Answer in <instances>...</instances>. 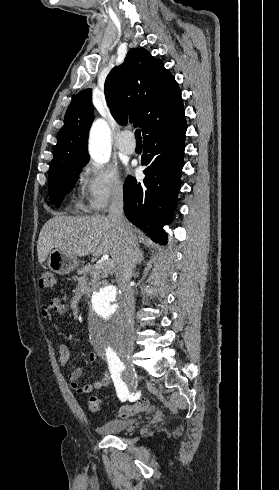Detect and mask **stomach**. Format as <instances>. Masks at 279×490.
Listing matches in <instances>:
<instances>
[{
  "mask_svg": "<svg viewBox=\"0 0 279 490\" xmlns=\"http://www.w3.org/2000/svg\"><path fill=\"white\" fill-rule=\"evenodd\" d=\"M47 266L54 274L66 276L78 268L79 260L77 256H70V254L60 252V250H52L48 256Z\"/></svg>",
  "mask_w": 279,
  "mask_h": 490,
  "instance_id": "obj_1",
  "label": "stomach"
}]
</instances>
